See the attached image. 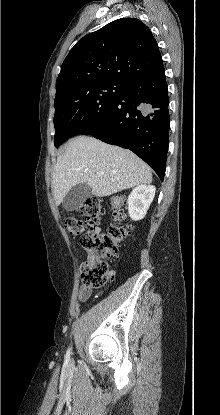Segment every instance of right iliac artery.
I'll list each match as a JSON object with an SVG mask.
<instances>
[{
	"label": "right iliac artery",
	"instance_id": "82829eb1",
	"mask_svg": "<svg viewBox=\"0 0 220 415\" xmlns=\"http://www.w3.org/2000/svg\"><path fill=\"white\" fill-rule=\"evenodd\" d=\"M70 359V348L67 350L66 356H65V361L68 362Z\"/></svg>",
	"mask_w": 220,
	"mask_h": 415
}]
</instances>
